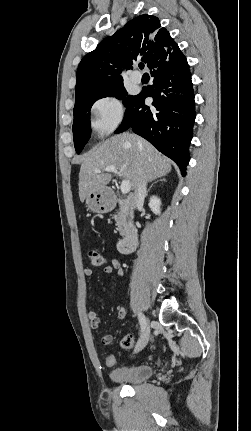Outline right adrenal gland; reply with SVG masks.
<instances>
[{"mask_svg":"<svg viewBox=\"0 0 251 431\" xmlns=\"http://www.w3.org/2000/svg\"><path fill=\"white\" fill-rule=\"evenodd\" d=\"M165 181H166V179H165V178H161V177H160L157 181L153 182V183L150 185V187L148 188L147 192H146V197L148 196V193H149L150 189L154 186V184H156L157 182H165Z\"/></svg>","mask_w":251,"mask_h":431,"instance_id":"obj_1","label":"right adrenal gland"}]
</instances>
